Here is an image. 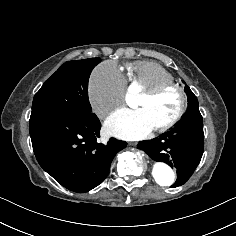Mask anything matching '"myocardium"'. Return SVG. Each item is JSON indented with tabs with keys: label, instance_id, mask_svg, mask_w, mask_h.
<instances>
[{
	"label": "myocardium",
	"instance_id": "1",
	"mask_svg": "<svg viewBox=\"0 0 236 236\" xmlns=\"http://www.w3.org/2000/svg\"><path fill=\"white\" fill-rule=\"evenodd\" d=\"M168 91H174L178 95L179 108L171 120L163 126L153 129L156 134H164L169 132L183 120L188 108V95L185 89L175 82L162 83L149 90L141 92V95H143L146 99L153 100Z\"/></svg>",
	"mask_w": 236,
	"mask_h": 236
}]
</instances>
